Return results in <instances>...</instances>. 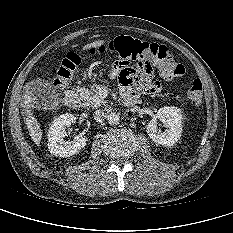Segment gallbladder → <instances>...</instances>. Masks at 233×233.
I'll use <instances>...</instances> for the list:
<instances>
[{
  "label": "gallbladder",
  "instance_id": "gallbladder-1",
  "mask_svg": "<svg viewBox=\"0 0 233 233\" xmlns=\"http://www.w3.org/2000/svg\"><path fill=\"white\" fill-rule=\"evenodd\" d=\"M29 87L33 94L40 98L47 107H52L57 104L56 92L50 82L43 79H36L29 84Z\"/></svg>",
  "mask_w": 233,
  "mask_h": 233
}]
</instances>
